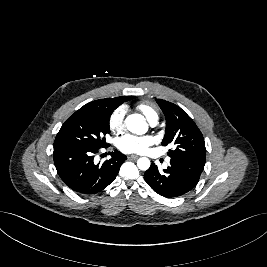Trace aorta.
Masks as SVG:
<instances>
[{
    "label": "aorta",
    "mask_w": 267,
    "mask_h": 267,
    "mask_svg": "<svg viewBox=\"0 0 267 267\" xmlns=\"http://www.w3.org/2000/svg\"><path fill=\"white\" fill-rule=\"evenodd\" d=\"M127 129L135 134L142 135L147 132L148 125L144 117L140 114H131L125 119ZM151 162L146 157H141L137 161V166L140 170L146 171L149 169Z\"/></svg>",
    "instance_id": "aorta-1"
}]
</instances>
